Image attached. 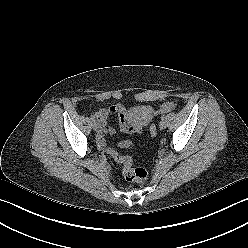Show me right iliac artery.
<instances>
[{"label": "right iliac artery", "mask_w": 248, "mask_h": 248, "mask_svg": "<svg viewBox=\"0 0 248 248\" xmlns=\"http://www.w3.org/2000/svg\"><path fill=\"white\" fill-rule=\"evenodd\" d=\"M94 119H95V117L93 115H91L90 120L95 121Z\"/></svg>", "instance_id": "right-iliac-artery-1"}]
</instances>
